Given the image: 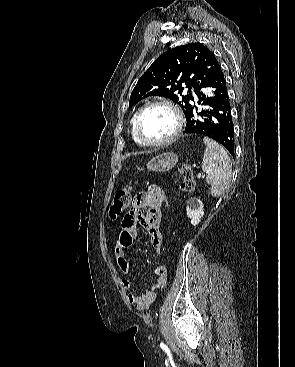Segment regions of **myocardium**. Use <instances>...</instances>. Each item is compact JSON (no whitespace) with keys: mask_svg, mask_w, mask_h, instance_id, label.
<instances>
[{"mask_svg":"<svg viewBox=\"0 0 295 367\" xmlns=\"http://www.w3.org/2000/svg\"><path fill=\"white\" fill-rule=\"evenodd\" d=\"M153 107H165L167 109H169L174 117H175V121H176V126L174 131L172 132L171 135H169L167 138L159 140V141H148L146 140L140 131V120L141 117L143 115V113ZM183 124H184V120H183V116L180 112V110L171 102L168 101H163V100H158V101H152L149 102L147 104H145L143 107H141L139 109V111L136 113L135 115V119H134V132L135 135L138 139V141L145 146H149V147H160V146H164L167 144L172 143L174 140H176L178 138V136L181 134L182 129H183Z\"/></svg>","mask_w":295,"mask_h":367,"instance_id":"1","label":"myocardium"}]
</instances>
